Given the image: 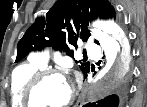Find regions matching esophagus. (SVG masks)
<instances>
[{
	"label": "esophagus",
	"mask_w": 147,
	"mask_h": 107,
	"mask_svg": "<svg viewBox=\"0 0 147 107\" xmlns=\"http://www.w3.org/2000/svg\"><path fill=\"white\" fill-rule=\"evenodd\" d=\"M85 94H86V88L84 87L82 90L81 98L78 101V105H82V103L85 101Z\"/></svg>",
	"instance_id": "34e87169"
}]
</instances>
